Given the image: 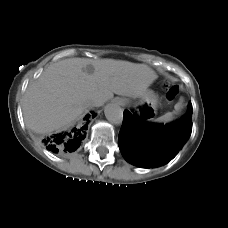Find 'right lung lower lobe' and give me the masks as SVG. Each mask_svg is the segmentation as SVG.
I'll use <instances>...</instances> for the list:
<instances>
[{
  "label": "right lung lower lobe",
  "instance_id": "right-lung-lower-lobe-1",
  "mask_svg": "<svg viewBox=\"0 0 228 228\" xmlns=\"http://www.w3.org/2000/svg\"><path fill=\"white\" fill-rule=\"evenodd\" d=\"M94 112L87 114L81 123L67 132L49 135L43 138V144L46 149L58 153L59 155H68L77 150L85 138L86 130L88 128L89 119L94 118Z\"/></svg>",
  "mask_w": 228,
  "mask_h": 228
}]
</instances>
